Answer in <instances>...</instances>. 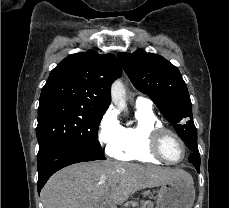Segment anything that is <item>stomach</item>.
Listing matches in <instances>:
<instances>
[{
	"instance_id": "0dacf381",
	"label": "stomach",
	"mask_w": 229,
	"mask_h": 208,
	"mask_svg": "<svg viewBox=\"0 0 229 208\" xmlns=\"http://www.w3.org/2000/svg\"><path fill=\"white\" fill-rule=\"evenodd\" d=\"M156 208H192L195 200L193 180H172L157 192Z\"/></svg>"
}]
</instances>
